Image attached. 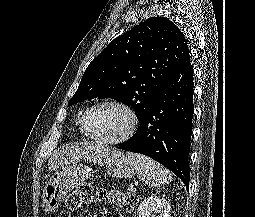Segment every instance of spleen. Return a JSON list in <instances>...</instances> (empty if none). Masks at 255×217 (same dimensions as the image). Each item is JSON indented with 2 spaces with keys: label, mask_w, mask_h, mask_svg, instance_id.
Returning a JSON list of instances; mask_svg holds the SVG:
<instances>
[{
  "label": "spleen",
  "mask_w": 255,
  "mask_h": 217,
  "mask_svg": "<svg viewBox=\"0 0 255 217\" xmlns=\"http://www.w3.org/2000/svg\"><path fill=\"white\" fill-rule=\"evenodd\" d=\"M137 174L146 179L148 186H160L172 181V174L164 166L141 154H126Z\"/></svg>",
  "instance_id": "1"
}]
</instances>
